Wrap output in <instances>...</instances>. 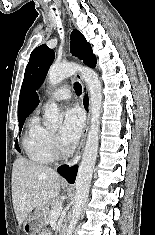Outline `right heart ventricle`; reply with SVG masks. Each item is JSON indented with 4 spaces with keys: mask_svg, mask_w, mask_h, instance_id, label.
<instances>
[{
    "mask_svg": "<svg viewBox=\"0 0 155 235\" xmlns=\"http://www.w3.org/2000/svg\"><path fill=\"white\" fill-rule=\"evenodd\" d=\"M23 147L27 157L35 163L47 164L54 159L51 132L38 115H33L27 123Z\"/></svg>",
    "mask_w": 155,
    "mask_h": 235,
    "instance_id": "right-heart-ventricle-1",
    "label": "right heart ventricle"
}]
</instances>
